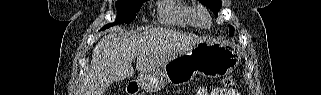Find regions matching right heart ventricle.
<instances>
[{"label": "right heart ventricle", "mask_w": 321, "mask_h": 95, "mask_svg": "<svg viewBox=\"0 0 321 95\" xmlns=\"http://www.w3.org/2000/svg\"><path fill=\"white\" fill-rule=\"evenodd\" d=\"M198 11L187 1L165 0L158 7V20L164 25L200 26Z\"/></svg>", "instance_id": "1"}]
</instances>
